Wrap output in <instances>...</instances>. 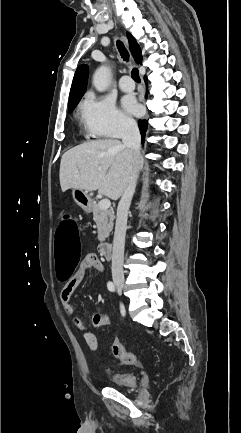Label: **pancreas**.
I'll use <instances>...</instances> for the list:
<instances>
[{
	"mask_svg": "<svg viewBox=\"0 0 241 433\" xmlns=\"http://www.w3.org/2000/svg\"><path fill=\"white\" fill-rule=\"evenodd\" d=\"M91 210L93 212V220L97 225L98 240L103 242L107 237H109V234L113 229V221L115 218L114 212L112 209H100L99 203H93Z\"/></svg>",
	"mask_w": 241,
	"mask_h": 433,
	"instance_id": "pancreas-1",
	"label": "pancreas"
}]
</instances>
